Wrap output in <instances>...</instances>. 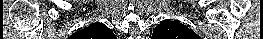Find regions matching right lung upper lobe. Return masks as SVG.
<instances>
[{"label":"right lung upper lobe","mask_w":263,"mask_h":39,"mask_svg":"<svg viewBox=\"0 0 263 39\" xmlns=\"http://www.w3.org/2000/svg\"><path fill=\"white\" fill-rule=\"evenodd\" d=\"M74 35L83 39H113L114 37V33L105 24L99 22L90 24Z\"/></svg>","instance_id":"cb5924a9"}]
</instances>
